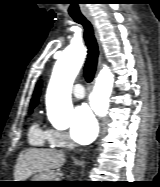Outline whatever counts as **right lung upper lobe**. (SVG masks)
Segmentation results:
<instances>
[{"label": "right lung upper lobe", "instance_id": "right-lung-upper-lobe-1", "mask_svg": "<svg viewBox=\"0 0 160 187\" xmlns=\"http://www.w3.org/2000/svg\"><path fill=\"white\" fill-rule=\"evenodd\" d=\"M41 87H42V83L41 81L36 85L35 91L33 93V98L31 100V107L30 109H33L37 103H38V98L40 96V92H41Z\"/></svg>", "mask_w": 160, "mask_h": 187}]
</instances>
